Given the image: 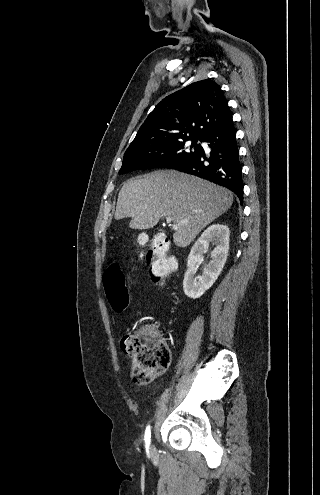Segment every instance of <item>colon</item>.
<instances>
[{
  "instance_id": "5ec220e1",
  "label": "colon",
  "mask_w": 320,
  "mask_h": 495,
  "mask_svg": "<svg viewBox=\"0 0 320 495\" xmlns=\"http://www.w3.org/2000/svg\"><path fill=\"white\" fill-rule=\"evenodd\" d=\"M144 242L145 238L139 237V243ZM141 257L149 263L152 280L159 286L165 285L176 270V260L169 253V242L165 237H157L152 249L142 253ZM103 287L112 309L116 312L124 311L129 303V294L124 273L117 261H112L105 269ZM121 349L132 360L131 377L137 385L150 383L170 362V351L157 339L153 325L143 326L123 336Z\"/></svg>"
}]
</instances>
